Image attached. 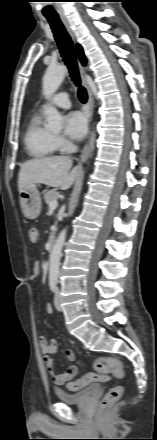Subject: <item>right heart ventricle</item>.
<instances>
[{"instance_id": "right-heart-ventricle-1", "label": "right heart ventricle", "mask_w": 157, "mask_h": 440, "mask_svg": "<svg viewBox=\"0 0 157 440\" xmlns=\"http://www.w3.org/2000/svg\"><path fill=\"white\" fill-rule=\"evenodd\" d=\"M24 143L29 155L36 158L51 155L57 148L53 134L41 124L39 111L29 118Z\"/></svg>"}]
</instances>
